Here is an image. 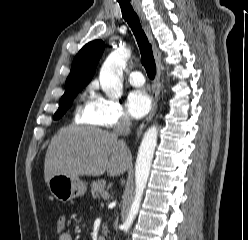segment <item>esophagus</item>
Instances as JSON below:
<instances>
[{
	"mask_svg": "<svg viewBox=\"0 0 248 240\" xmlns=\"http://www.w3.org/2000/svg\"><path fill=\"white\" fill-rule=\"evenodd\" d=\"M134 9L136 10L137 14L139 15L144 30L147 33L150 41L152 42L153 45V51H154V56H155V62H156V76L153 82V92H152V109L147 118L140 124L136 131V137L139 138L147 124L151 121L153 118L157 107H158V99H159V94H160V89H161V83H160V77H161V52L154 40L150 25L148 21L145 18V15L141 9V7L138 4H134Z\"/></svg>",
	"mask_w": 248,
	"mask_h": 240,
	"instance_id": "obj_1",
	"label": "esophagus"
}]
</instances>
